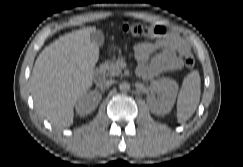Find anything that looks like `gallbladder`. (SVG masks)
Masks as SVG:
<instances>
[{
	"mask_svg": "<svg viewBox=\"0 0 243 167\" xmlns=\"http://www.w3.org/2000/svg\"><path fill=\"white\" fill-rule=\"evenodd\" d=\"M92 41L99 48L104 43V34L101 30H94L92 33Z\"/></svg>",
	"mask_w": 243,
	"mask_h": 167,
	"instance_id": "bac80fb5",
	"label": "gallbladder"
}]
</instances>
